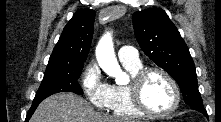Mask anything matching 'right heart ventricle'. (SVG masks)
<instances>
[{
    "instance_id": "e07e8e85",
    "label": "right heart ventricle",
    "mask_w": 221,
    "mask_h": 122,
    "mask_svg": "<svg viewBox=\"0 0 221 122\" xmlns=\"http://www.w3.org/2000/svg\"><path fill=\"white\" fill-rule=\"evenodd\" d=\"M127 72L133 76L141 69V64H130L122 62ZM110 86L109 100L107 109L115 116L126 118H138L143 114L134 106L130 94L128 85L113 84Z\"/></svg>"
}]
</instances>
